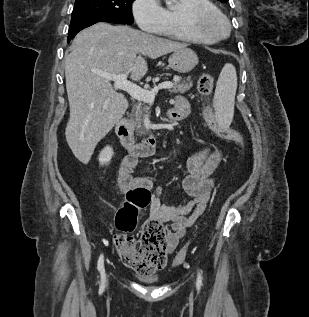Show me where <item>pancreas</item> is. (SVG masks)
I'll return each instance as SVG.
<instances>
[{"mask_svg":"<svg viewBox=\"0 0 309 317\" xmlns=\"http://www.w3.org/2000/svg\"><path fill=\"white\" fill-rule=\"evenodd\" d=\"M193 86L191 81V77H187L186 79H182L177 76V79L173 82V88L170 90L171 93H185L190 90ZM148 106L145 102H137L131 111V122L136 129V133L139 136L146 135L147 130L144 126V118L146 113L148 112Z\"/></svg>","mask_w":309,"mask_h":317,"instance_id":"pancreas-1","label":"pancreas"}]
</instances>
